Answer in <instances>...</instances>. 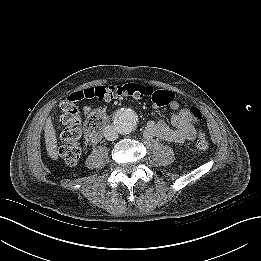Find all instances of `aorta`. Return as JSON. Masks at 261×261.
<instances>
[{
	"mask_svg": "<svg viewBox=\"0 0 261 261\" xmlns=\"http://www.w3.org/2000/svg\"><path fill=\"white\" fill-rule=\"evenodd\" d=\"M114 125L121 134L133 132L138 125V114L131 107L118 109L113 117Z\"/></svg>",
	"mask_w": 261,
	"mask_h": 261,
	"instance_id": "1",
	"label": "aorta"
}]
</instances>
